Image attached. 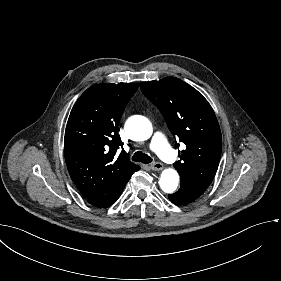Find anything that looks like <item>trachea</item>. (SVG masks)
Returning <instances> with one entry per match:
<instances>
[{
    "mask_svg": "<svg viewBox=\"0 0 281 281\" xmlns=\"http://www.w3.org/2000/svg\"><path fill=\"white\" fill-rule=\"evenodd\" d=\"M133 161L138 163L149 164L153 161V159L143 152H135L131 158Z\"/></svg>",
    "mask_w": 281,
    "mask_h": 281,
    "instance_id": "3493384b",
    "label": "trachea"
}]
</instances>
